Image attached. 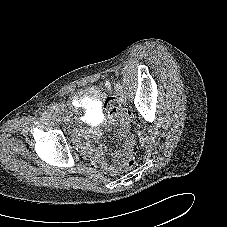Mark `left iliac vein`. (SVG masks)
Masks as SVG:
<instances>
[{
  "label": "left iliac vein",
  "instance_id": "obj_1",
  "mask_svg": "<svg viewBox=\"0 0 227 227\" xmlns=\"http://www.w3.org/2000/svg\"><path fill=\"white\" fill-rule=\"evenodd\" d=\"M119 98L121 100V102H126V97L124 96V94H122L121 92H118Z\"/></svg>",
  "mask_w": 227,
  "mask_h": 227
}]
</instances>
